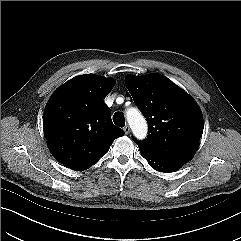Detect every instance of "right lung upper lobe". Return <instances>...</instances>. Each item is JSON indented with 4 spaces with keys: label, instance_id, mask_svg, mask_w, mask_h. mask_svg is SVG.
<instances>
[{
    "label": "right lung upper lobe",
    "instance_id": "obj_1",
    "mask_svg": "<svg viewBox=\"0 0 241 241\" xmlns=\"http://www.w3.org/2000/svg\"><path fill=\"white\" fill-rule=\"evenodd\" d=\"M113 86L112 79L81 75L50 97L43 115L44 135L52 155L64 166L90 168L124 135L112 123L110 108L103 100Z\"/></svg>",
    "mask_w": 241,
    "mask_h": 241
}]
</instances>
